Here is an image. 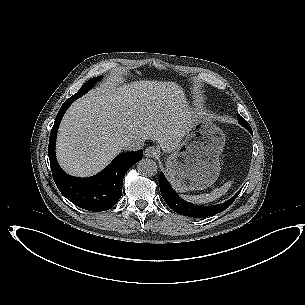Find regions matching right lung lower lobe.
Returning a JSON list of instances; mask_svg holds the SVG:
<instances>
[{
  "label": "right lung lower lobe",
  "instance_id": "98d812e1",
  "mask_svg": "<svg viewBox=\"0 0 305 305\" xmlns=\"http://www.w3.org/2000/svg\"><path fill=\"white\" fill-rule=\"evenodd\" d=\"M73 101L70 97L63 103L50 133L48 156L52 175L58 189L69 201L85 210L106 211L120 199L124 175L142 159L143 152L120 154L104 170L89 178L67 175L56 160L55 142L60 121Z\"/></svg>",
  "mask_w": 305,
  "mask_h": 305
}]
</instances>
